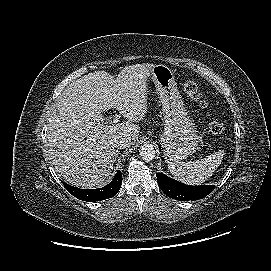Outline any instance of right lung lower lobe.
Instances as JSON below:
<instances>
[{"instance_id": "1", "label": "right lung lower lobe", "mask_w": 271, "mask_h": 271, "mask_svg": "<svg viewBox=\"0 0 271 271\" xmlns=\"http://www.w3.org/2000/svg\"><path fill=\"white\" fill-rule=\"evenodd\" d=\"M122 183V173L119 171L112 182L100 189H79L63 182L64 187L74 197L84 201H100L115 196Z\"/></svg>"}]
</instances>
